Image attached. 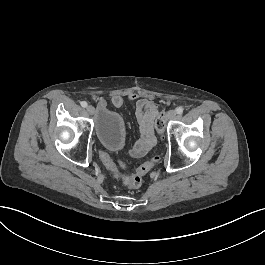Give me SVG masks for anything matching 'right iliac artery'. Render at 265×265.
Listing matches in <instances>:
<instances>
[{
	"instance_id": "right-iliac-artery-1",
	"label": "right iliac artery",
	"mask_w": 265,
	"mask_h": 265,
	"mask_svg": "<svg viewBox=\"0 0 265 265\" xmlns=\"http://www.w3.org/2000/svg\"><path fill=\"white\" fill-rule=\"evenodd\" d=\"M81 106L84 107V108L87 107V102L86 101H82L81 102Z\"/></svg>"
}]
</instances>
